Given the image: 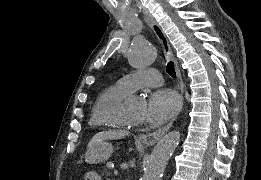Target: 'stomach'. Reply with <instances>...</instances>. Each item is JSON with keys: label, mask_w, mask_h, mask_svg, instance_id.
<instances>
[{"label": "stomach", "mask_w": 261, "mask_h": 180, "mask_svg": "<svg viewBox=\"0 0 261 180\" xmlns=\"http://www.w3.org/2000/svg\"><path fill=\"white\" fill-rule=\"evenodd\" d=\"M112 144L102 141L92 146L85 155V161L89 164H98L107 161L112 155Z\"/></svg>", "instance_id": "0dacf381"}]
</instances>
